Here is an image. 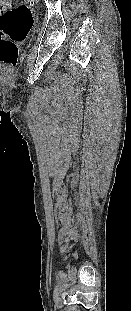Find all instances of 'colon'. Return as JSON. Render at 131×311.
<instances>
[{"mask_svg":"<svg viewBox=\"0 0 131 311\" xmlns=\"http://www.w3.org/2000/svg\"><path fill=\"white\" fill-rule=\"evenodd\" d=\"M33 24L30 9L15 0H0V68L9 69L17 62V42L25 39Z\"/></svg>","mask_w":131,"mask_h":311,"instance_id":"1","label":"colon"}]
</instances>
